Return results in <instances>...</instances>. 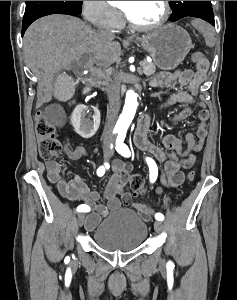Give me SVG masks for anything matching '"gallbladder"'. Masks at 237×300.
<instances>
[{"instance_id": "1", "label": "gallbladder", "mask_w": 237, "mask_h": 300, "mask_svg": "<svg viewBox=\"0 0 237 300\" xmlns=\"http://www.w3.org/2000/svg\"><path fill=\"white\" fill-rule=\"evenodd\" d=\"M59 82H56V101H71L72 94H75V82L68 72L58 73Z\"/></svg>"}]
</instances>
